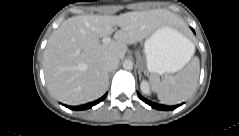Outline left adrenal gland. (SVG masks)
I'll list each match as a JSON object with an SVG mask.
<instances>
[{"mask_svg": "<svg viewBox=\"0 0 239 136\" xmlns=\"http://www.w3.org/2000/svg\"><path fill=\"white\" fill-rule=\"evenodd\" d=\"M141 71H142V69L139 68V71H138V73H139V79H141Z\"/></svg>", "mask_w": 239, "mask_h": 136, "instance_id": "a2214340", "label": "left adrenal gland"}]
</instances>
